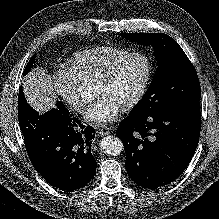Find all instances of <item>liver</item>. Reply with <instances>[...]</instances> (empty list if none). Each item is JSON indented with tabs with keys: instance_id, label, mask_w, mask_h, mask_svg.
I'll use <instances>...</instances> for the list:
<instances>
[{
	"instance_id": "6515ba94",
	"label": "liver",
	"mask_w": 219,
	"mask_h": 219,
	"mask_svg": "<svg viewBox=\"0 0 219 219\" xmlns=\"http://www.w3.org/2000/svg\"><path fill=\"white\" fill-rule=\"evenodd\" d=\"M22 87L27 102L40 114L55 107V88L51 76L44 69L34 68L22 79Z\"/></svg>"
}]
</instances>
